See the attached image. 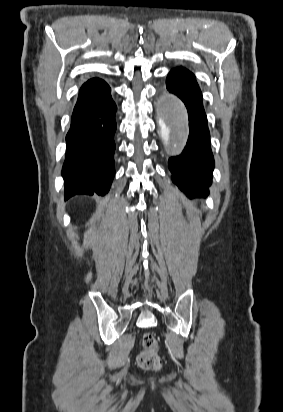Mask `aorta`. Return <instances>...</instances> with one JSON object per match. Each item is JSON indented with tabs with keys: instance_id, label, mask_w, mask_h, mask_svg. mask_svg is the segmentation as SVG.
Segmentation results:
<instances>
[{
	"instance_id": "obj_1",
	"label": "aorta",
	"mask_w": 283,
	"mask_h": 412,
	"mask_svg": "<svg viewBox=\"0 0 283 412\" xmlns=\"http://www.w3.org/2000/svg\"><path fill=\"white\" fill-rule=\"evenodd\" d=\"M171 114V120H160V135L165 144L179 143L187 133V112L184 104L177 98H172L166 105Z\"/></svg>"
}]
</instances>
